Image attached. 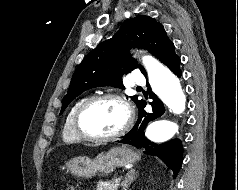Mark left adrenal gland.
<instances>
[{"label":"left adrenal gland","instance_id":"left-adrenal-gland-1","mask_svg":"<svg viewBox=\"0 0 238 190\" xmlns=\"http://www.w3.org/2000/svg\"><path fill=\"white\" fill-rule=\"evenodd\" d=\"M136 178H137V172L135 171V169H131L130 171H128L123 182L121 183L122 190H127L128 187L131 185V183H133V181Z\"/></svg>","mask_w":238,"mask_h":190}]
</instances>
